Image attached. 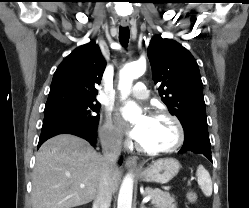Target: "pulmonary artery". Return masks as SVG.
<instances>
[{
  "instance_id": "pulmonary-artery-1",
  "label": "pulmonary artery",
  "mask_w": 249,
  "mask_h": 208,
  "mask_svg": "<svg viewBox=\"0 0 249 208\" xmlns=\"http://www.w3.org/2000/svg\"><path fill=\"white\" fill-rule=\"evenodd\" d=\"M129 94L137 99H146L149 96V90L143 82H137Z\"/></svg>"
}]
</instances>
